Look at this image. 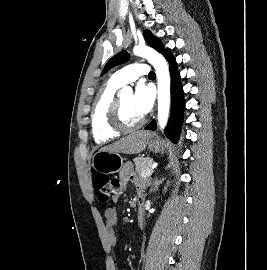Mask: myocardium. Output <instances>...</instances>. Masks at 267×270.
I'll use <instances>...</instances> for the list:
<instances>
[{
  "mask_svg": "<svg viewBox=\"0 0 267 270\" xmlns=\"http://www.w3.org/2000/svg\"><path fill=\"white\" fill-rule=\"evenodd\" d=\"M144 123V118H141L138 122L134 124L126 123L122 116L120 98H115L109 114V124L114 130L119 132H130L140 128L141 126H143Z\"/></svg>",
  "mask_w": 267,
  "mask_h": 270,
  "instance_id": "f54148a6",
  "label": "myocardium"
}]
</instances>
